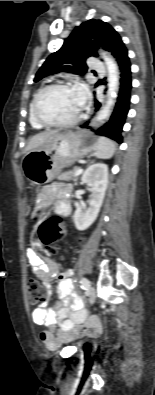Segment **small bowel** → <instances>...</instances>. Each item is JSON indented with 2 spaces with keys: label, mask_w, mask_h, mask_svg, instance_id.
<instances>
[{
  "label": "small bowel",
  "mask_w": 155,
  "mask_h": 395,
  "mask_svg": "<svg viewBox=\"0 0 155 395\" xmlns=\"http://www.w3.org/2000/svg\"><path fill=\"white\" fill-rule=\"evenodd\" d=\"M71 187L63 183H54L46 186L41 194L38 210L47 211L51 208L59 214L69 211V196ZM63 225V223L59 222ZM65 229L63 225V230ZM26 257L31 266L34 277L46 289L48 297L52 294V281H57V295L60 303L48 308L46 302L39 305L32 313L33 322L45 327L40 339L43 344L53 349L59 345L80 337L87 333L97 332L100 323L96 318L89 319L84 328H76V324L86 318L87 312L82 302L73 292L72 270L60 271L59 265L53 259L39 255L36 251L28 249Z\"/></svg>",
  "instance_id": "1"
}]
</instances>
